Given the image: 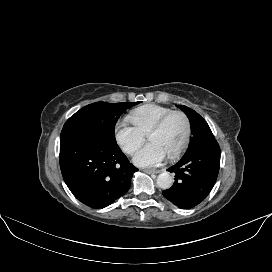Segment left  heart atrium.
Listing matches in <instances>:
<instances>
[{"label":"left heart atrium","mask_w":272,"mask_h":272,"mask_svg":"<svg viewBox=\"0 0 272 272\" xmlns=\"http://www.w3.org/2000/svg\"><path fill=\"white\" fill-rule=\"evenodd\" d=\"M166 153L155 142H148L133 158L136 165L142 167H153L159 165L165 158Z\"/></svg>","instance_id":"obj_1"}]
</instances>
